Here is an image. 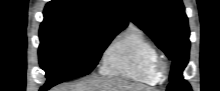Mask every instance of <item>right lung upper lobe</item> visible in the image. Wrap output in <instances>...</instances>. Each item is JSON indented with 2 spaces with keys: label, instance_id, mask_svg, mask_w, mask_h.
Here are the masks:
<instances>
[{
  "label": "right lung upper lobe",
  "instance_id": "obj_1",
  "mask_svg": "<svg viewBox=\"0 0 220 91\" xmlns=\"http://www.w3.org/2000/svg\"><path fill=\"white\" fill-rule=\"evenodd\" d=\"M128 24L117 0H52L41 25H82L123 30Z\"/></svg>",
  "mask_w": 220,
  "mask_h": 91
}]
</instances>
